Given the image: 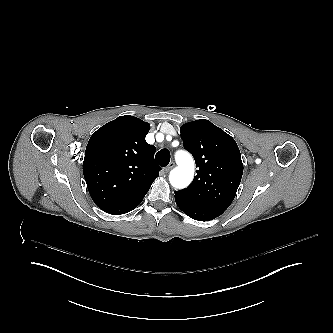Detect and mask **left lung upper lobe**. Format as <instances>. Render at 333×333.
I'll return each mask as SVG.
<instances>
[{
  "mask_svg": "<svg viewBox=\"0 0 333 333\" xmlns=\"http://www.w3.org/2000/svg\"><path fill=\"white\" fill-rule=\"evenodd\" d=\"M184 148L196 162L193 182L175 197L196 206L224 212L232 203L243 173L235 140L210 121L200 119L180 128Z\"/></svg>",
  "mask_w": 333,
  "mask_h": 333,
  "instance_id": "5c2ea615",
  "label": "left lung upper lobe"
}]
</instances>
